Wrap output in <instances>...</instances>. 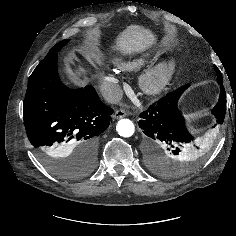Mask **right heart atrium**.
<instances>
[{
  "label": "right heart atrium",
  "instance_id": "obj_1",
  "mask_svg": "<svg viewBox=\"0 0 236 236\" xmlns=\"http://www.w3.org/2000/svg\"><path fill=\"white\" fill-rule=\"evenodd\" d=\"M100 82L104 97L109 101L115 100L119 92L117 78L112 74L105 73L100 76Z\"/></svg>",
  "mask_w": 236,
  "mask_h": 236
}]
</instances>
